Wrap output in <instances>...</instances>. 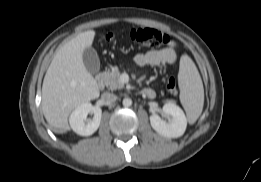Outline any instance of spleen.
Returning a JSON list of instances; mask_svg holds the SVG:
<instances>
[{
    "mask_svg": "<svg viewBox=\"0 0 261 182\" xmlns=\"http://www.w3.org/2000/svg\"><path fill=\"white\" fill-rule=\"evenodd\" d=\"M178 83L180 101L190 124H194L202 113L204 88L198 69L188 55L180 59Z\"/></svg>",
    "mask_w": 261,
    "mask_h": 182,
    "instance_id": "spleen-1",
    "label": "spleen"
}]
</instances>
